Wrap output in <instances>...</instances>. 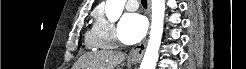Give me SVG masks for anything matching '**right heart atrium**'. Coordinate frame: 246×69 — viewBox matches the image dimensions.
Instances as JSON below:
<instances>
[{
	"instance_id": "obj_1",
	"label": "right heart atrium",
	"mask_w": 246,
	"mask_h": 69,
	"mask_svg": "<svg viewBox=\"0 0 246 69\" xmlns=\"http://www.w3.org/2000/svg\"><path fill=\"white\" fill-rule=\"evenodd\" d=\"M98 47H112L117 43L116 28L113 23L100 15L94 25Z\"/></svg>"
}]
</instances>
